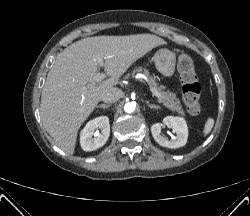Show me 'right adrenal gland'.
<instances>
[{
    "instance_id": "1",
    "label": "right adrenal gland",
    "mask_w": 250,
    "mask_h": 216,
    "mask_svg": "<svg viewBox=\"0 0 250 216\" xmlns=\"http://www.w3.org/2000/svg\"><path fill=\"white\" fill-rule=\"evenodd\" d=\"M98 108H109L110 105L109 104H100L97 106Z\"/></svg>"
}]
</instances>
